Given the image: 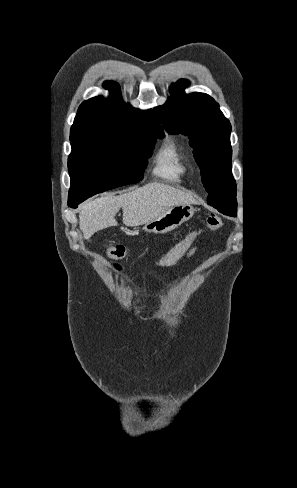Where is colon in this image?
<instances>
[{
	"label": "colon",
	"instance_id": "1",
	"mask_svg": "<svg viewBox=\"0 0 297 488\" xmlns=\"http://www.w3.org/2000/svg\"><path fill=\"white\" fill-rule=\"evenodd\" d=\"M207 228L210 230H215L220 228L222 221L220 217L215 213H210L206 220ZM200 234V230H195L187 234L182 240H180L175 246L168 250L164 255H162L156 264L160 267H170L179 261L189 249L193 246L196 238ZM109 254L115 259H122L126 256L127 251L124 246L117 245L109 249ZM119 268V265H116Z\"/></svg>",
	"mask_w": 297,
	"mask_h": 488
}]
</instances>
